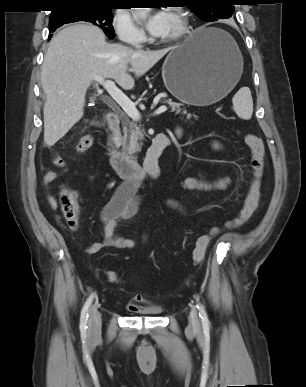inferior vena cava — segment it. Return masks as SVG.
I'll use <instances>...</instances> for the list:
<instances>
[{"instance_id": "602c4592", "label": "inferior vena cava", "mask_w": 306, "mask_h": 387, "mask_svg": "<svg viewBox=\"0 0 306 387\" xmlns=\"http://www.w3.org/2000/svg\"><path fill=\"white\" fill-rule=\"evenodd\" d=\"M136 47H137V48H140L141 46H139V45H136Z\"/></svg>"}]
</instances>
